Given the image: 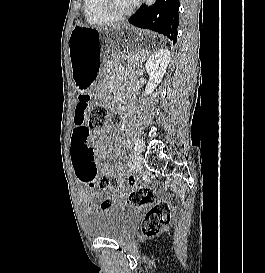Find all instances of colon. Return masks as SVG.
I'll return each mask as SVG.
<instances>
[{"label": "colon", "instance_id": "1", "mask_svg": "<svg viewBox=\"0 0 265 273\" xmlns=\"http://www.w3.org/2000/svg\"><path fill=\"white\" fill-rule=\"evenodd\" d=\"M86 98L85 94L81 96L82 101ZM121 121L120 113L110 111L104 104L98 102L89 110L88 105H77L72 125H75V128H86L87 124L88 128L94 133L95 149L89 147L90 153L94 155L96 151L101 150L103 133L110 127L118 126ZM85 181L89 182V179L85 178ZM97 187L101 191H115L120 196L126 194V188L115 178L102 177L98 181ZM96 197L101 201L102 206L110 203L108 199L100 198L98 193H96ZM128 199L133 205L142 206L154 201V193L148 186L135 184L128 191ZM171 215L172 207L168 202L164 200L155 201L145 216L142 233L147 237L158 235L171 223Z\"/></svg>", "mask_w": 265, "mask_h": 273}]
</instances>
